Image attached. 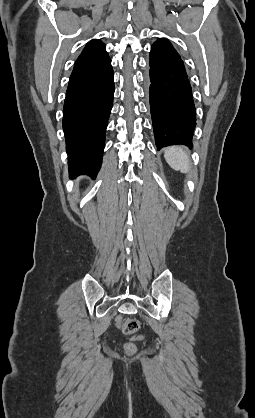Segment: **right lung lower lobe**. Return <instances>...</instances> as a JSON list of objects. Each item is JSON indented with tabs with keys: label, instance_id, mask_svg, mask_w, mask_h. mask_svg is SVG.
Wrapping results in <instances>:
<instances>
[{
	"label": "right lung lower lobe",
	"instance_id": "1",
	"mask_svg": "<svg viewBox=\"0 0 255 418\" xmlns=\"http://www.w3.org/2000/svg\"><path fill=\"white\" fill-rule=\"evenodd\" d=\"M114 73L108 56L74 65L63 108L71 176L97 175L113 103Z\"/></svg>",
	"mask_w": 255,
	"mask_h": 418
}]
</instances>
